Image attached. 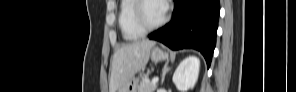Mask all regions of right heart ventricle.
Masks as SVG:
<instances>
[{
  "label": "right heart ventricle",
  "mask_w": 296,
  "mask_h": 92,
  "mask_svg": "<svg viewBox=\"0 0 296 92\" xmlns=\"http://www.w3.org/2000/svg\"><path fill=\"white\" fill-rule=\"evenodd\" d=\"M135 3V0H123L119 7L118 25L126 40H135L144 35V31L135 24L133 19Z\"/></svg>",
  "instance_id": "obj_1"
}]
</instances>
